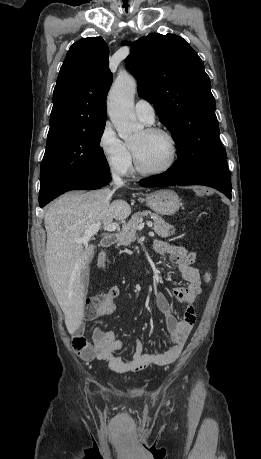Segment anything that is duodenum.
<instances>
[{"mask_svg":"<svg viewBox=\"0 0 261 459\" xmlns=\"http://www.w3.org/2000/svg\"><path fill=\"white\" fill-rule=\"evenodd\" d=\"M116 239H117L116 234H108L102 239V246L109 247L115 243Z\"/></svg>","mask_w":261,"mask_h":459,"instance_id":"1","label":"duodenum"}]
</instances>
